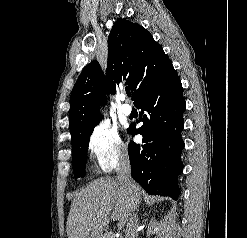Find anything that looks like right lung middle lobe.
Wrapping results in <instances>:
<instances>
[{"label": "right lung middle lobe", "instance_id": "1", "mask_svg": "<svg viewBox=\"0 0 247 238\" xmlns=\"http://www.w3.org/2000/svg\"><path fill=\"white\" fill-rule=\"evenodd\" d=\"M92 131L93 129L72 145L73 173L75 178L83 177L85 173L87 149L89 145V137L92 134Z\"/></svg>", "mask_w": 247, "mask_h": 238}]
</instances>
